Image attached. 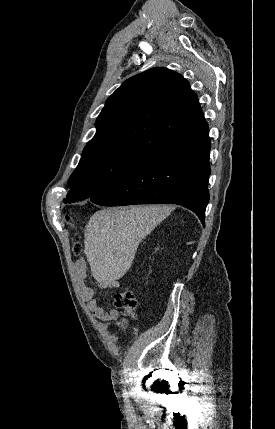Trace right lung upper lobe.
<instances>
[{"mask_svg":"<svg viewBox=\"0 0 275 429\" xmlns=\"http://www.w3.org/2000/svg\"><path fill=\"white\" fill-rule=\"evenodd\" d=\"M96 127L83 157L111 147L152 155L208 125L188 81L174 71L156 67L127 79L107 99Z\"/></svg>","mask_w":275,"mask_h":429,"instance_id":"1","label":"right lung upper lobe"}]
</instances>
